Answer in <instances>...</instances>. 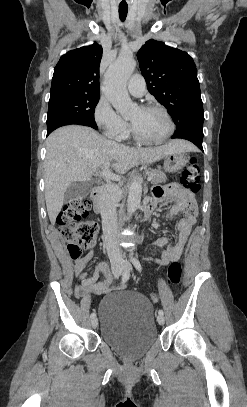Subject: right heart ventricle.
Masks as SVG:
<instances>
[{
  "label": "right heart ventricle",
  "instance_id": "right-heart-ventricle-1",
  "mask_svg": "<svg viewBox=\"0 0 247 407\" xmlns=\"http://www.w3.org/2000/svg\"><path fill=\"white\" fill-rule=\"evenodd\" d=\"M127 137H128V133L126 132V134L123 136L122 139H125V138H127Z\"/></svg>",
  "mask_w": 247,
  "mask_h": 407
}]
</instances>
